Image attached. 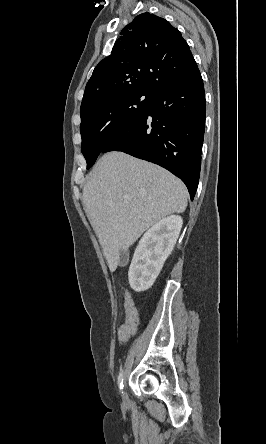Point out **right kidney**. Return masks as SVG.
<instances>
[{"label":"right kidney","mask_w":266,"mask_h":444,"mask_svg":"<svg viewBox=\"0 0 266 444\" xmlns=\"http://www.w3.org/2000/svg\"><path fill=\"white\" fill-rule=\"evenodd\" d=\"M183 220L171 215L153 225L141 238L128 271L129 284L136 292L148 290L172 252Z\"/></svg>","instance_id":"obj_1"}]
</instances>
